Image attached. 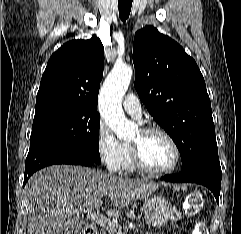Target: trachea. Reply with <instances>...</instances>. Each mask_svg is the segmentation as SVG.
I'll use <instances>...</instances> for the list:
<instances>
[{
  "mask_svg": "<svg viewBox=\"0 0 241 234\" xmlns=\"http://www.w3.org/2000/svg\"><path fill=\"white\" fill-rule=\"evenodd\" d=\"M118 7L121 20L126 21L131 11L132 0H118Z\"/></svg>",
  "mask_w": 241,
  "mask_h": 234,
  "instance_id": "1",
  "label": "trachea"
}]
</instances>
